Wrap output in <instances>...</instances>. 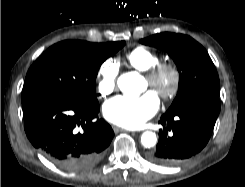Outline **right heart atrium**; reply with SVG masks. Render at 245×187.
Masks as SVG:
<instances>
[{"mask_svg":"<svg viewBox=\"0 0 245 187\" xmlns=\"http://www.w3.org/2000/svg\"><path fill=\"white\" fill-rule=\"evenodd\" d=\"M118 66L111 60H105L99 68L96 91L101 98L112 94L116 88Z\"/></svg>","mask_w":245,"mask_h":187,"instance_id":"1","label":"right heart atrium"}]
</instances>
